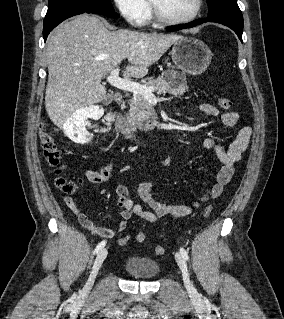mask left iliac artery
<instances>
[{
	"label": "left iliac artery",
	"instance_id": "44dca946",
	"mask_svg": "<svg viewBox=\"0 0 284 319\" xmlns=\"http://www.w3.org/2000/svg\"><path fill=\"white\" fill-rule=\"evenodd\" d=\"M180 253L182 254V256L186 259V260H188V253H187V251L184 249V248H180Z\"/></svg>",
	"mask_w": 284,
	"mask_h": 319
}]
</instances>
